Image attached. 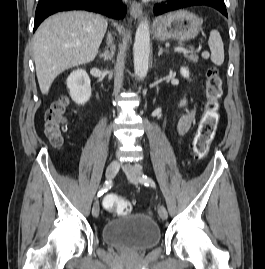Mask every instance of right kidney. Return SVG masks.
<instances>
[{"label": "right kidney", "mask_w": 265, "mask_h": 269, "mask_svg": "<svg viewBox=\"0 0 265 269\" xmlns=\"http://www.w3.org/2000/svg\"><path fill=\"white\" fill-rule=\"evenodd\" d=\"M67 88L73 101L78 105L85 104L91 96L90 78L86 71L77 69L67 78Z\"/></svg>", "instance_id": "ca27d5eb"}]
</instances>
